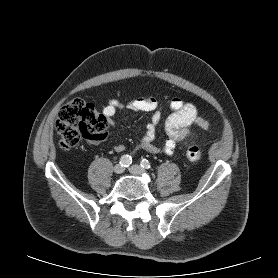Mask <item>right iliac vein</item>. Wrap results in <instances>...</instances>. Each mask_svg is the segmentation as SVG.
I'll return each mask as SVG.
<instances>
[{
	"label": "right iliac vein",
	"instance_id": "right-iliac-vein-1",
	"mask_svg": "<svg viewBox=\"0 0 278 278\" xmlns=\"http://www.w3.org/2000/svg\"><path fill=\"white\" fill-rule=\"evenodd\" d=\"M123 171H124V168L120 164H117L114 166V172L116 174H121V173H123Z\"/></svg>",
	"mask_w": 278,
	"mask_h": 278
}]
</instances>
